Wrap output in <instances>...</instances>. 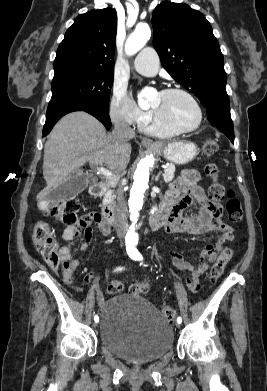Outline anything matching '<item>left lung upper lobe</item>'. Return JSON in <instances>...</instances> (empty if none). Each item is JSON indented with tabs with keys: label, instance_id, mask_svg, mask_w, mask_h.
Masks as SVG:
<instances>
[{
	"label": "left lung upper lobe",
	"instance_id": "obj_1",
	"mask_svg": "<svg viewBox=\"0 0 267 391\" xmlns=\"http://www.w3.org/2000/svg\"><path fill=\"white\" fill-rule=\"evenodd\" d=\"M152 26L165 70L204 107L229 103L223 55L205 16L186 4L165 1L153 11Z\"/></svg>",
	"mask_w": 267,
	"mask_h": 391
}]
</instances>
